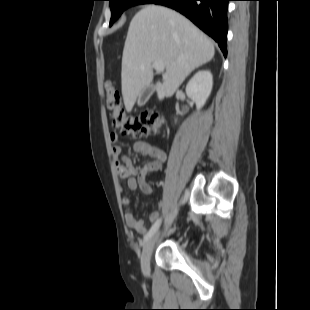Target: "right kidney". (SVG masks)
<instances>
[{
    "instance_id": "ca27d5eb",
    "label": "right kidney",
    "mask_w": 310,
    "mask_h": 310,
    "mask_svg": "<svg viewBox=\"0 0 310 310\" xmlns=\"http://www.w3.org/2000/svg\"><path fill=\"white\" fill-rule=\"evenodd\" d=\"M213 77L210 71L200 70L190 79L186 86L187 96L196 103L200 110L211 94Z\"/></svg>"
}]
</instances>
